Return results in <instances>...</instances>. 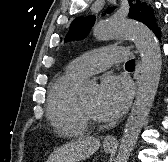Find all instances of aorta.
Masks as SVG:
<instances>
[{"label": "aorta", "instance_id": "762f6f07", "mask_svg": "<svg viewBox=\"0 0 168 162\" xmlns=\"http://www.w3.org/2000/svg\"><path fill=\"white\" fill-rule=\"evenodd\" d=\"M93 35L97 40L114 38L133 39L142 59L141 76L136 99L127 119L119 151L114 162H127L140 131L152 107L161 76L162 57L155 34L144 24L109 18L95 25ZM89 87H85V90Z\"/></svg>", "mask_w": 168, "mask_h": 162}]
</instances>
